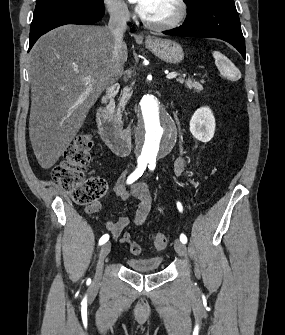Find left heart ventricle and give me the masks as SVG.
Instances as JSON below:
<instances>
[{"label":"left heart ventricle","mask_w":285,"mask_h":335,"mask_svg":"<svg viewBox=\"0 0 285 335\" xmlns=\"http://www.w3.org/2000/svg\"><path fill=\"white\" fill-rule=\"evenodd\" d=\"M177 14V9L172 1H152L151 12L147 18L148 23L162 24L173 19Z\"/></svg>","instance_id":"b2bd125f"}]
</instances>
